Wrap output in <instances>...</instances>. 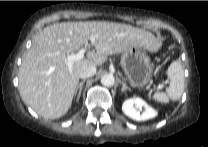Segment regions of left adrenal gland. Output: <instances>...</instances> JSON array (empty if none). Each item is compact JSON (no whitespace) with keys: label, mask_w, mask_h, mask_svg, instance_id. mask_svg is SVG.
Returning a JSON list of instances; mask_svg holds the SVG:
<instances>
[{"label":"left adrenal gland","mask_w":208,"mask_h":147,"mask_svg":"<svg viewBox=\"0 0 208 147\" xmlns=\"http://www.w3.org/2000/svg\"><path fill=\"white\" fill-rule=\"evenodd\" d=\"M122 92H125L126 90H129V91H131V89L126 85V83L125 82H122Z\"/></svg>","instance_id":"left-adrenal-gland-1"}]
</instances>
